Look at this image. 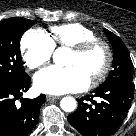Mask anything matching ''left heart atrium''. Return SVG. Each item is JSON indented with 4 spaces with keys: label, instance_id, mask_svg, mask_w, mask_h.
<instances>
[{
    "label": "left heart atrium",
    "instance_id": "left-heart-atrium-1",
    "mask_svg": "<svg viewBox=\"0 0 136 136\" xmlns=\"http://www.w3.org/2000/svg\"><path fill=\"white\" fill-rule=\"evenodd\" d=\"M89 83L90 79L77 65L65 68L51 66L34 76V85L38 91L54 95L82 91Z\"/></svg>",
    "mask_w": 136,
    "mask_h": 136
}]
</instances>
